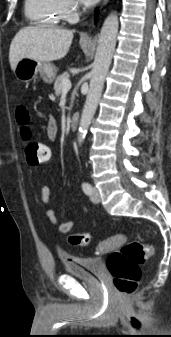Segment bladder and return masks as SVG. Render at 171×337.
<instances>
[{
  "label": "bladder",
  "mask_w": 171,
  "mask_h": 337,
  "mask_svg": "<svg viewBox=\"0 0 171 337\" xmlns=\"http://www.w3.org/2000/svg\"><path fill=\"white\" fill-rule=\"evenodd\" d=\"M61 259L66 273L77 277L93 278L103 267V260L99 257L63 255Z\"/></svg>",
  "instance_id": "31cf9c89"
}]
</instances>
